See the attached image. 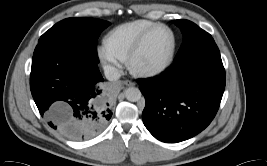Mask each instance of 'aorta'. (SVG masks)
Returning <instances> with one entry per match:
<instances>
[{
	"label": "aorta",
	"instance_id": "762f6f07",
	"mask_svg": "<svg viewBox=\"0 0 267 166\" xmlns=\"http://www.w3.org/2000/svg\"><path fill=\"white\" fill-rule=\"evenodd\" d=\"M125 96H126L127 100H129L131 102H137L141 99L142 93L136 87H129L125 91Z\"/></svg>",
	"mask_w": 267,
	"mask_h": 166
}]
</instances>
